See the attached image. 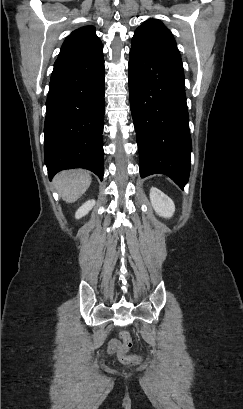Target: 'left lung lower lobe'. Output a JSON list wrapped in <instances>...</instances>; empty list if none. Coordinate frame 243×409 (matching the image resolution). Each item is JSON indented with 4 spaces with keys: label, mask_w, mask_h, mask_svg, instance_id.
<instances>
[{
    "label": "left lung lower lobe",
    "mask_w": 243,
    "mask_h": 409,
    "mask_svg": "<svg viewBox=\"0 0 243 409\" xmlns=\"http://www.w3.org/2000/svg\"><path fill=\"white\" fill-rule=\"evenodd\" d=\"M129 97L141 177L166 174L184 189L192 147L184 71L176 45L130 49Z\"/></svg>",
    "instance_id": "0a47b994"
}]
</instances>
